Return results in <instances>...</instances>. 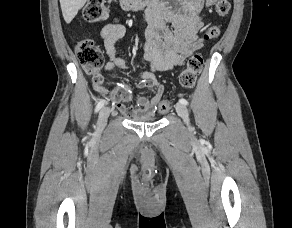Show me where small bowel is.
<instances>
[{"instance_id":"c3829d8e","label":"small bowel","mask_w":292,"mask_h":228,"mask_svg":"<svg viewBox=\"0 0 292 228\" xmlns=\"http://www.w3.org/2000/svg\"><path fill=\"white\" fill-rule=\"evenodd\" d=\"M216 0H165L158 1L147 13L149 27L143 58L148 63V70L140 74L142 85L154 90L151 98L136 96L137 108L126 106L117 101V108L127 116H154L157 105L164 93V86L158 81L156 73L169 71L181 66L185 59L199 50L203 41L199 31L203 25L200 12L211 6ZM126 33L122 24H108L101 30L108 62L105 71L126 69L127 65L115 48V44Z\"/></svg>"}]
</instances>
